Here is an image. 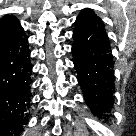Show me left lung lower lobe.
Masks as SVG:
<instances>
[{
	"mask_svg": "<svg viewBox=\"0 0 136 136\" xmlns=\"http://www.w3.org/2000/svg\"><path fill=\"white\" fill-rule=\"evenodd\" d=\"M72 54L86 104L99 118L110 112L114 79L111 69L110 43L103 23L90 9L76 19Z\"/></svg>",
	"mask_w": 136,
	"mask_h": 136,
	"instance_id": "1",
	"label": "left lung lower lobe"
}]
</instances>
